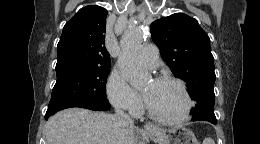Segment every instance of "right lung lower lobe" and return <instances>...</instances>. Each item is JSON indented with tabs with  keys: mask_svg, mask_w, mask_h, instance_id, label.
I'll list each match as a JSON object with an SVG mask.
<instances>
[{
	"mask_svg": "<svg viewBox=\"0 0 260 144\" xmlns=\"http://www.w3.org/2000/svg\"><path fill=\"white\" fill-rule=\"evenodd\" d=\"M85 108L90 109V110L105 111V110H108L110 108V104L108 102H106V103H100V104L87 106ZM56 112L46 113L45 119H47L48 117H50L51 115H53Z\"/></svg>",
	"mask_w": 260,
	"mask_h": 144,
	"instance_id": "98d812e1",
	"label": "right lung lower lobe"
}]
</instances>
